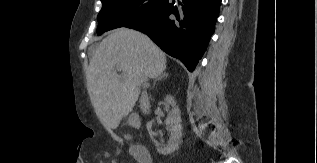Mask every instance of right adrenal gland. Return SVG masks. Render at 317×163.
<instances>
[{"instance_id":"obj_1","label":"right adrenal gland","mask_w":317,"mask_h":163,"mask_svg":"<svg viewBox=\"0 0 317 163\" xmlns=\"http://www.w3.org/2000/svg\"><path fill=\"white\" fill-rule=\"evenodd\" d=\"M168 77V74L166 72H163L159 77H157L155 80H154V85L157 81H161L162 79H165Z\"/></svg>"}]
</instances>
